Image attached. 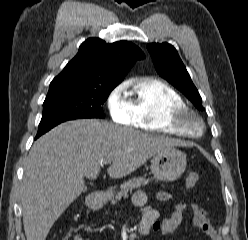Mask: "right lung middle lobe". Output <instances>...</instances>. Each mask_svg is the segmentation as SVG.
<instances>
[{"instance_id": "dd1d6c3e", "label": "right lung middle lobe", "mask_w": 248, "mask_h": 240, "mask_svg": "<svg viewBox=\"0 0 248 240\" xmlns=\"http://www.w3.org/2000/svg\"><path fill=\"white\" fill-rule=\"evenodd\" d=\"M113 88H64L49 91L43 103L39 127L56 126L67 120L104 118L101 105Z\"/></svg>"}]
</instances>
